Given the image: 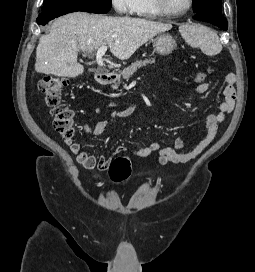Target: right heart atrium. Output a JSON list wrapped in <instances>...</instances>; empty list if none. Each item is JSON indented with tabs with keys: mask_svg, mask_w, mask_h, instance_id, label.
<instances>
[{
	"mask_svg": "<svg viewBox=\"0 0 255 272\" xmlns=\"http://www.w3.org/2000/svg\"><path fill=\"white\" fill-rule=\"evenodd\" d=\"M111 5L118 14L128 15L135 12L136 0H111Z\"/></svg>",
	"mask_w": 255,
	"mask_h": 272,
	"instance_id": "obj_1",
	"label": "right heart atrium"
}]
</instances>
